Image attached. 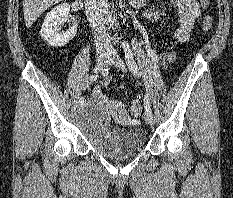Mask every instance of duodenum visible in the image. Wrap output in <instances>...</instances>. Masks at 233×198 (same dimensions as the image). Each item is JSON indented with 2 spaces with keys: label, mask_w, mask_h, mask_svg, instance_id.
Segmentation results:
<instances>
[{
  "label": "duodenum",
  "mask_w": 233,
  "mask_h": 198,
  "mask_svg": "<svg viewBox=\"0 0 233 198\" xmlns=\"http://www.w3.org/2000/svg\"><path fill=\"white\" fill-rule=\"evenodd\" d=\"M142 0H131V4L137 6L141 3Z\"/></svg>",
  "instance_id": "410a0bca"
}]
</instances>
